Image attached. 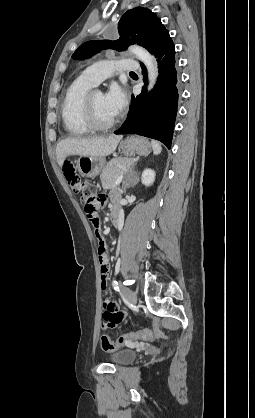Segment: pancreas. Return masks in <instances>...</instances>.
I'll return each mask as SVG.
<instances>
[{
    "instance_id": "1",
    "label": "pancreas",
    "mask_w": 255,
    "mask_h": 418,
    "mask_svg": "<svg viewBox=\"0 0 255 418\" xmlns=\"http://www.w3.org/2000/svg\"><path fill=\"white\" fill-rule=\"evenodd\" d=\"M133 164L132 158L115 157L111 159L103 168L100 180L103 189H111L114 187L116 179L124 173Z\"/></svg>"
}]
</instances>
